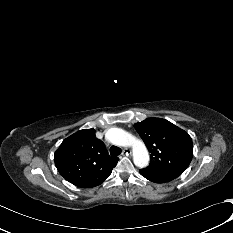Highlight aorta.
Returning <instances> with one entry per match:
<instances>
[{
    "label": "aorta",
    "mask_w": 233,
    "mask_h": 233,
    "mask_svg": "<svg viewBox=\"0 0 233 233\" xmlns=\"http://www.w3.org/2000/svg\"><path fill=\"white\" fill-rule=\"evenodd\" d=\"M106 138L116 146L132 147L133 162L139 168H144L149 163V153L145 144L120 128H111L106 132Z\"/></svg>",
    "instance_id": "aorta-1"
}]
</instances>
